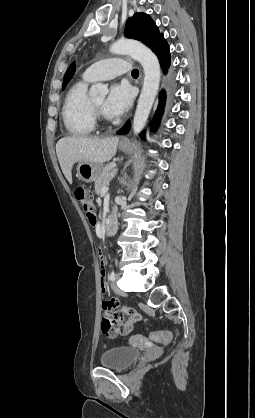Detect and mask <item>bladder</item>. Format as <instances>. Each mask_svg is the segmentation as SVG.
I'll return each mask as SVG.
<instances>
[{"label":"bladder","instance_id":"bladder-1","mask_svg":"<svg viewBox=\"0 0 255 418\" xmlns=\"http://www.w3.org/2000/svg\"><path fill=\"white\" fill-rule=\"evenodd\" d=\"M140 352L133 347H114L104 351L100 357L103 367L113 370H125L139 358Z\"/></svg>","mask_w":255,"mask_h":418}]
</instances>
